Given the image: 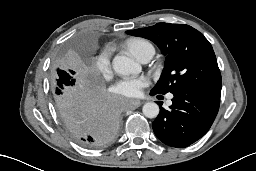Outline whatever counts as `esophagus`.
Segmentation results:
<instances>
[{
  "label": "esophagus",
  "mask_w": 256,
  "mask_h": 171,
  "mask_svg": "<svg viewBox=\"0 0 256 171\" xmlns=\"http://www.w3.org/2000/svg\"><path fill=\"white\" fill-rule=\"evenodd\" d=\"M142 102L139 100H130L127 104L129 109H136L141 106Z\"/></svg>",
  "instance_id": "obj_1"
}]
</instances>
